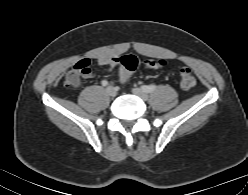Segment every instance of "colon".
Here are the masks:
<instances>
[{"mask_svg":"<svg viewBox=\"0 0 248 195\" xmlns=\"http://www.w3.org/2000/svg\"><path fill=\"white\" fill-rule=\"evenodd\" d=\"M120 63L125 70L126 75L129 77L137 68L139 64L138 57L134 55H125L120 58ZM144 64L148 68L157 69L166 65V61L163 59H148L144 61ZM90 62L87 60H81L75 64V66L68 72L65 80V85L70 88H75L80 84L81 77L88 72ZM196 84V79L193 72L183 67L180 69V86L184 90L193 88Z\"/></svg>","mask_w":248,"mask_h":195,"instance_id":"5ec220e1","label":"colon"}]
</instances>
